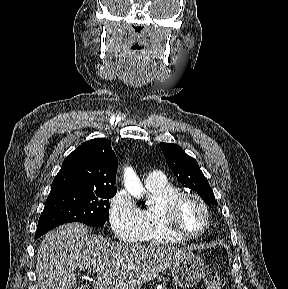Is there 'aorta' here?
<instances>
[{"mask_svg":"<svg viewBox=\"0 0 288 289\" xmlns=\"http://www.w3.org/2000/svg\"><path fill=\"white\" fill-rule=\"evenodd\" d=\"M124 181L125 188L132 196L136 198L142 197L145 190L132 168L125 169Z\"/></svg>","mask_w":288,"mask_h":289,"instance_id":"1","label":"aorta"}]
</instances>
